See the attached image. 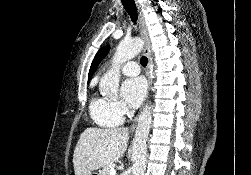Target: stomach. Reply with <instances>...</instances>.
<instances>
[{
    "instance_id": "stomach-1",
    "label": "stomach",
    "mask_w": 251,
    "mask_h": 175,
    "mask_svg": "<svg viewBox=\"0 0 251 175\" xmlns=\"http://www.w3.org/2000/svg\"><path fill=\"white\" fill-rule=\"evenodd\" d=\"M90 175H98V173H96V171H92V173H90Z\"/></svg>"
}]
</instances>
